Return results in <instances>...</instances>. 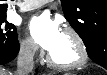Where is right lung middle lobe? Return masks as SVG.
I'll return each mask as SVG.
<instances>
[{
  "label": "right lung middle lobe",
  "instance_id": "1",
  "mask_svg": "<svg viewBox=\"0 0 107 75\" xmlns=\"http://www.w3.org/2000/svg\"><path fill=\"white\" fill-rule=\"evenodd\" d=\"M16 39L15 26L6 20V16H0V44H10Z\"/></svg>",
  "mask_w": 107,
  "mask_h": 75
}]
</instances>
